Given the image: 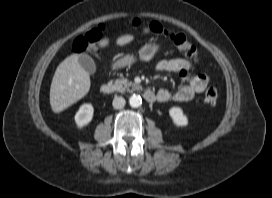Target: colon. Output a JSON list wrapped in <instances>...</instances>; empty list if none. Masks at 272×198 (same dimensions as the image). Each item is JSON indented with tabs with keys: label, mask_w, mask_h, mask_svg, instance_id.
Returning <instances> with one entry per match:
<instances>
[{
	"label": "colon",
	"mask_w": 272,
	"mask_h": 198,
	"mask_svg": "<svg viewBox=\"0 0 272 198\" xmlns=\"http://www.w3.org/2000/svg\"><path fill=\"white\" fill-rule=\"evenodd\" d=\"M129 25L134 28H142L146 33L154 36L167 37L179 52L194 61H198L199 55L197 48L187 39L185 35L181 33L168 32L161 24L157 22L142 24L139 20H132L129 22ZM101 36L102 26H97L90 29L75 40V52L78 54L95 52L96 44L100 40ZM217 97V90L214 87H208L204 92L203 102L206 105L213 106L216 104Z\"/></svg>",
	"instance_id": "5ec220e1"
}]
</instances>
